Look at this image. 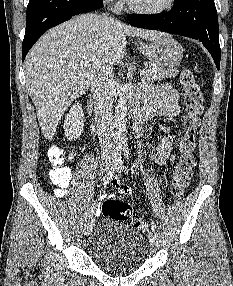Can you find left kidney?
Wrapping results in <instances>:
<instances>
[{"label":"left kidney","instance_id":"5707ae66","mask_svg":"<svg viewBox=\"0 0 233 286\" xmlns=\"http://www.w3.org/2000/svg\"><path fill=\"white\" fill-rule=\"evenodd\" d=\"M167 131L169 132V131H170V128H167ZM165 132H166V130H165Z\"/></svg>","mask_w":233,"mask_h":286}]
</instances>
